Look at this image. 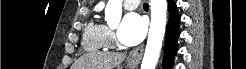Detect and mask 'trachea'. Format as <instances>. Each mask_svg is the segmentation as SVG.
I'll use <instances>...</instances> for the list:
<instances>
[{
  "instance_id": "1",
  "label": "trachea",
  "mask_w": 246,
  "mask_h": 69,
  "mask_svg": "<svg viewBox=\"0 0 246 69\" xmlns=\"http://www.w3.org/2000/svg\"><path fill=\"white\" fill-rule=\"evenodd\" d=\"M143 7L144 8H148V4L147 3H144Z\"/></svg>"
}]
</instances>
